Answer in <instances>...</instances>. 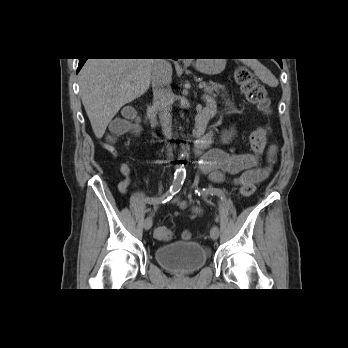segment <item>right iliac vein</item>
Returning a JSON list of instances; mask_svg holds the SVG:
<instances>
[{
    "instance_id": "1",
    "label": "right iliac vein",
    "mask_w": 348,
    "mask_h": 348,
    "mask_svg": "<svg viewBox=\"0 0 348 348\" xmlns=\"http://www.w3.org/2000/svg\"><path fill=\"white\" fill-rule=\"evenodd\" d=\"M151 227H152V219L148 217L144 221V229L149 230Z\"/></svg>"
}]
</instances>
